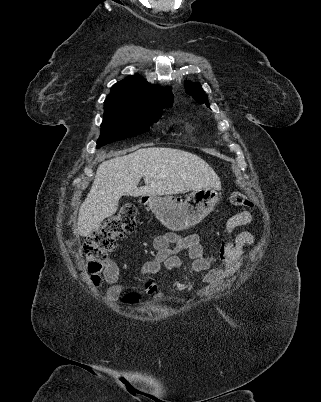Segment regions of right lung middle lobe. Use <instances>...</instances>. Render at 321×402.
Wrapping results in <instances>:
<instances>
[{
	"label": "right lung middle lobe",
	"mask_w": 321,
	"mask_h": 402,
	"mask_svg": "<svg viewBox=\"0 0 321 402\" xmlns=\"http://www.w3.org/2000/svg\"><path fill=\"white\" fill-rule=\"evenodd\" d=\"M104 102V118L97 147L146 132L162 116V108Z\"/></svg>",
	"instance_id": "obj_1"
}]
</instances>
